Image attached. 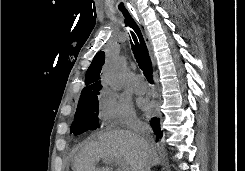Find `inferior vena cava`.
<instances>
[{
	"label": "inferior vena cava",
	"instance_id": "inferior-vena-cava-1",
	"mask_svg": "<svg viewBox=\"0 0 245 171\" xmlns=\"http://www.w3.org/2000/svg\"><path fill=\"white\" fill-rule=\"evenodd\" d=\"M134 130L141 135V141L144 144L145 148L148 149L149 144V137L151 129L148 125L139 123L134 127ZM149 163L145 162L141 168V171H149Z\"/></svg>",
	"mask_w": 245,
	"mask_h": 171
}]
</instances>
